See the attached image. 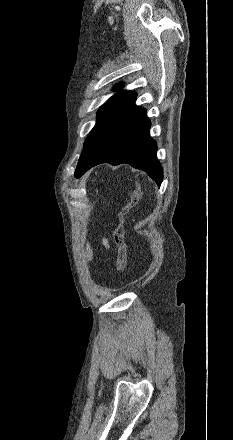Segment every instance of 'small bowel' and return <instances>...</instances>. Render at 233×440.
I'll return each instance as SVG.
<instances>
[{
  "label": "small bowel",
  "instance_id": "c3829d8e",
  "mask_svg": "<svg viewBox=\"0 0 233 440\" xmlns=\"http://www.w3.org/2000/svg\"><path fill=\"white\" fill-rule=\"evenodd\" d=\"M101 243H102V245H103L105 248H109V242H108V240H107L106 238H103V239L101 240ZM91 254H92V246L89 245L88 248H87V255H88V257H91Z\"/></svg>",
  "mask_w": 233,
  "mask_h": 440
}]
</instances>
